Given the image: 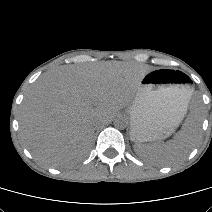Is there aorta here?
I'll list each match as a JSON object with an SVG mask.
<instances>
[{
    "label": "aorta",
    "mask_w": 212,
    "mask_h": 212,
    "mask_svg": "<svg viewBox=\"0 0 212 212\" xmlns=\"http://www.w3.org/2000/svg\"><path fill=\"white\" fill-rule=\"evenodd\" d=\"M128 125V120L126 117L124 116H118L115 120H114V126L117 129H125Z\"/></svg>",
    "instance_id": "obj_1"
}]
</instances>
